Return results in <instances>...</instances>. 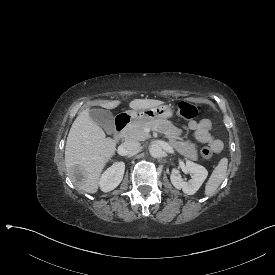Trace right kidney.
<instances>
[{"label": "right kidney", "mask_w": 275, "mask_h": 275, "mask_svg": "<svg viewBox=\"0 0 275 275\" xmlns=\"http://www.w3.org/2000/svg\"><path fill=\"white\" fill-rule=\"evenodd\" d=\"M125 172L124 163H116L110 167L100 180L101 189L104 192H110L118 187L122 182Z\"/></svg>", "instance_id": "ca27d5eb"}]
</instances>
